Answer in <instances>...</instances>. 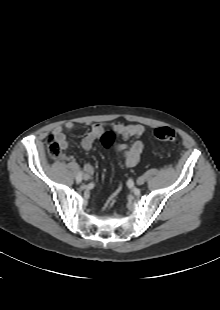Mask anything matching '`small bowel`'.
<instances>
[{
  "instance_id": "c3829d8e",
  "label": "small bowel",
  "mask_w": 220,
  "mask_h": 310,
  "mask_svg": "<svg viewBox=\"0 0 220 310\" xmlns=\"http://www.w3.org/2000/svg\"><path fill=\"white\" fill-rule=\"evenodd\" d=\"M111 127L125 140L135 139L129 143L117 144L115 150L121 156L125 167L131 168L136 166L144 149L143 142L139 140L145 132L144 126L141 124L124 125L121 123H114ZM73 130L74 124L72 122H67L64 125L55 128L52 136L62 145L63 149H66L68 147L66 132H71ZM105 130V124H93L90 131L82 139L81 147L86 151L90 150L95 141L102 136ZM84 171L86 174L92 175L94 172L93 166L91 164H85Z\"/></svg>"
}]
</instances>
